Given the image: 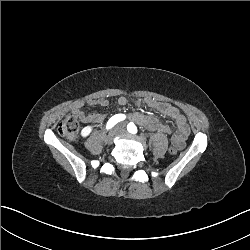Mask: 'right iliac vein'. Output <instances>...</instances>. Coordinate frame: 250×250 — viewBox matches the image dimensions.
I'll list each match as a JSON object with an SVG mask.
<instances>
[{
	"label": "right iliac vein",
	"instance_id": "63e3f726",
	"mask_svg": "<svg viewBox=\"0 0 250 250\" xmlns=\"http://www.w3.org/2000/svg\"><path fill=\"white\" fill-rule=\"evenodd\" d=\"M120 133L119 128H114L107 136L105 139L106 144H112L114 138Z\"/></svg>",
	"mask_w": 250,
	"mask_h": 250
}]
</instances>
